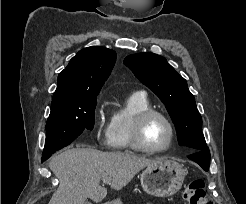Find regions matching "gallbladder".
<instances>
[{
	"label": "gallbladder",
	"mask_w": 246,
	"mask_h": 204,
	"mask_svg": "<svg viewBox=\"0 0 246 204\" xmlns=\"http://www.w3.org/2000/svg\"><path fill=\"white\" fill-rule=\"evenodd\" d=\"M84 204H92L91 202L86 201Z\"/></svg>",
	"instance_id": "1"
}]
</instances>
